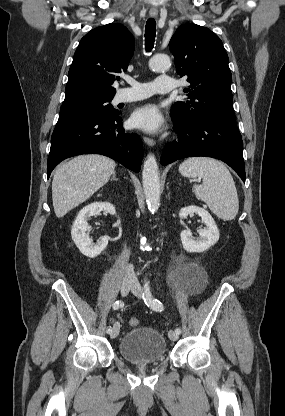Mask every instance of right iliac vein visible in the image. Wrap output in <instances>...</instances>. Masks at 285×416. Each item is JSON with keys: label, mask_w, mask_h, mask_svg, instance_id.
<instances>
[{"label": "right iliac vein", "mask_w": 285, "mask_h": 416, "mask_svg": "<svg viewBox=\"0 0 285 416\" xmlns=\"http://www.w3.org/2000/svg\"><path fill=\"white\" fill-rule=\"evenodd\" d=\"M134 285V281L132 279H125L121 284V294L126 296L129 293V290ZM120 323L116 322L113 325L112 331L110 332V338H115L119 334Z\"/></svg>", "instance_id": "63e3f726"}]
</instances>
